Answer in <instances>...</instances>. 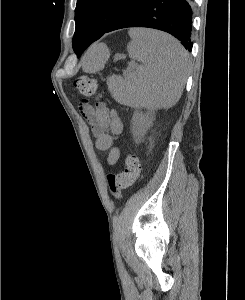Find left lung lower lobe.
<instances>
[{
	"label": "left lung lower lobe",
	"mask_w": 245,
	"mask_h": 300,
	"mask_svg": "<svg viewBox=\"0 0 245 300\" xmlns=\"http://www.w3.org/2000/svg\"><path fill=\"white\" fill-rule=\"evenodd\" d=\"M193 0H136L128 6L104 32L128 27H147L172 34L181 44L192 50L191 21ZM103 34V35H104ZM102 35L83 41L78 57Z\"/></svg>",
	"instance_id": "1"
}]
</instances>
